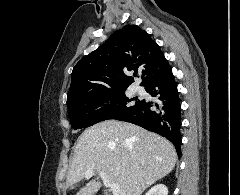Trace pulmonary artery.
<instances>
[{
	"label": "pulmonary artery",
	"instance_id": "pulmonary-artery-1",
	"mask_svg": "<svg viewBox=\"0 0 240 195\" xmlns=\"http://www.w3.org/2000/svg\"><path fill=\"white\" fill-rule=\"evenodd\" d=\"M135 91L139 94H143L144 93V88L141 87V86H136Z\"/></svg>",
	"mask_w": 240,
	"mask_h": 195
}]
</instances>
